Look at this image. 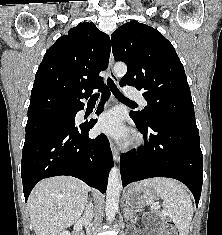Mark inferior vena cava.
I'll list each match as a JSON object with an SVG mask.
<instances>
[{"instance_id":"1","label":"inferior vena cava","mask_w":222,"mask_h":235,"mask_svg":"<svg viewBox=\"0 0 222 235\" xmlns=\"http://www.w3.org/2000/svg\"><path fill=\"white\" fill-rule=\"evenodd\" d=\"M92 217H93V214H92L91 203H90L89 205L86 206L85 213L83 217L81 218L82 222L85 224L86 227L90 224ZM87 235H91L88 229H87Z\"/></svg>"}]
</instances>
